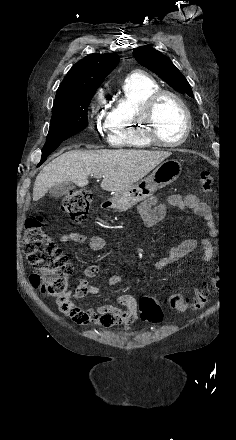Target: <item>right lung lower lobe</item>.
Wrapping results in <instances>:
<instances>
[{"label":"right lung lower lobe","mask_w":236,"mask_h":440,"mask_svg":"<svg viewBox=\"0 0 236 440\" xmlns=\"http://www.w3.org/2000/svg\"><path fill=\"white\" fill-rule=\"evenodd\" d=\"M58 146L59 145L50 146V147H43L41 161L38 164V166H40L43 162H45L47 157L50 155V153H52Z\"/></svg>","instance_id":"right-lung-lower-lobe-1"}]
</instances>
